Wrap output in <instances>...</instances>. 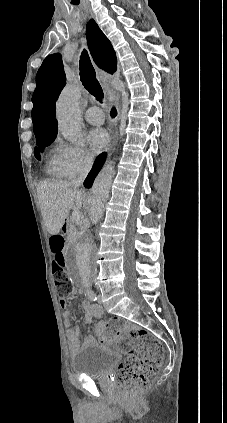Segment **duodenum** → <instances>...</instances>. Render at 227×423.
Returning a JSON list of instances; mask_svg holds the SVG:
<instances>
[{
  "label": "duodenum",
  "instance_id": "1",
  "mask_svg": "<svg viewBox=\"0 0 227 423\" xmlns=\"http://www.w3.org/2000/svg\"><path fill=\"white\" fill-rule=\"evenodd\" d=\"M68 234V231H65V235H67Z\"/></svg>",
  "mask_w": 227,
  "mask_h": 423
}]
</instances>
